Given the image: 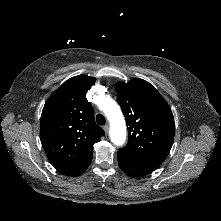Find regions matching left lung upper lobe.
<instances>
[{"instance_id": "left-lung-upper-lobe-1", "label": "left lung upper lobe", "mask_w": 221, "mask_h": 221, "mask_svg": "<svg viewBox=\"0 0 221 221\" xmlns=\"http://www.w3.org/2000/svg\"><path fill=\"white\" fill-rule=\"evenodd\" d=\"M116 93L128 126V143L122 150L158 168L174 141L170 107L154 86L143 79L118 82Z\"/></svg>"}]
</instances>
